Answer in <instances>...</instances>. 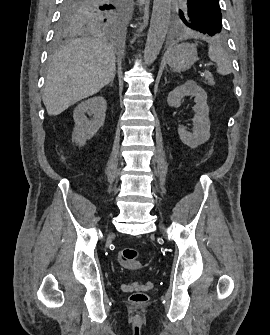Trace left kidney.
Returning <instances> with one entry per match:
<instances>
[{
    "label": "left kidney",
    "instance_id": "1",
    "mask_svg": "<svg viewBox=\"0 0 270 335\" xmlns=\"http://www.w3.org/2000/svg\"><path fill=\"white\" fill-rule=\"evenodd\" d=\"M184 96H195L196 106L193 110L196 112L193 118V132H187L186 128H178V134L183 144L189 148H197L201 144H205L209 140L210 120L208 118L209 110L206 104L207 94L203 88L197 86L194 80H187L184 86H177L175 90L169 92L167 102L172 108H179L181 100Z\"/></svg>",
    "mask_w": 270,
    "mask_h": 335
}]
</instances>
